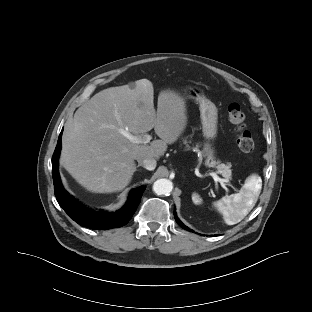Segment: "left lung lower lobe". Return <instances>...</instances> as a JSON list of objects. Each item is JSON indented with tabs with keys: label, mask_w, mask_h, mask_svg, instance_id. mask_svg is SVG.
<instances>
[{
	"label": "left lung lower lobe",
	"mask_w": 312,
	"mask_h": 312,
	"mask_svg": "<svg viewBox=\"0 0 312 312\" xmlns=\"http://www.w3.org/2000/svg\"><path fill=\"white\" fill-rule=\"evenodd\" d=\"M174 216H175V220L178 223L179 226H181L182 228H184L185 230L188 231H192L191 229H189L188 227H186L177 217L176 212H174ZM193 232V231H192Z\"/></svg>",
	"instance_id": "left-lung-lower-lobe-1"
}]
</instances>
